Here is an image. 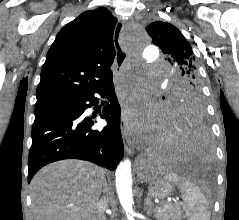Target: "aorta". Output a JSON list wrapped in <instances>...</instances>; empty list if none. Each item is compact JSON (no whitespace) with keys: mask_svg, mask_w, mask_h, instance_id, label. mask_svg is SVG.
I'll use <instances>...</instances> for the list:
<instances>
[{"mask_svg":"<svg viewBox=\"0 0 239 220\" xmlns=\"http://www.w3.org/2000/svg\"><path fill=\"white\" fill-rule=\"evenodd\" d=\"M139 39L137 33H125L124 35V40ZM142 52H145V57H142L143 61H158V51H156V48H145V51ZM115 182L120 204L127 214L128 220H135L136 214L133 210L131 161L129 159L122 161L117 167Z\"/></svg>","mask_w":239,"mask_h":220,"instance_id":"aorta-1","label":"aorta"}]
</instances>
